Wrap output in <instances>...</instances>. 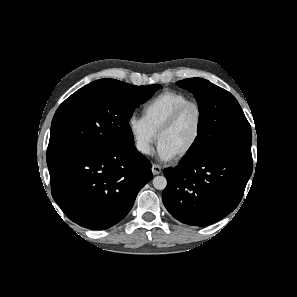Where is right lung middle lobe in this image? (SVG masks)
Here are the masks:
<instances>
[{"mask_svg":"<svg viewBox=\"0 0 297 297\" xmlns=\"http://www.w3.org/2000/svg\"><path fill=\"white\" fill-rule=\"evenodd\" d=\"M160 88L159 84L135 86L103 79L77 90L53 117L47 165L81 150L133 144L132 113Z\"/></svg>","mask_w":297,"mask_h":297,"instance_id":"right-lung-middle-lobe-1","label":"right lung middle lobe"}]
</instances>
